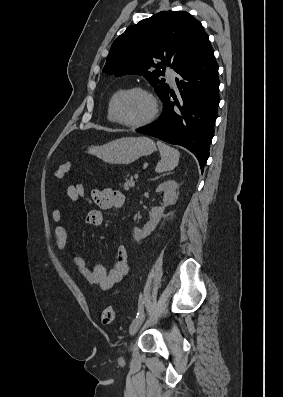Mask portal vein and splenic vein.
Listing matches in <instances>:
<instances>
[{
  "label": "portal vein and splenic vein",
  "instance_id": "1",
  "mask_svg": "<svg viewBox=\"0 0 283 397\" xmlns=\"http://www.w3.org/2000/svg\"><path fill=\"white\" fill-rule=\"evenodd\" d=\"M138 177H139L138 173H135V174H134V178H135V179H138Z\"/></svg>",
  "mask_w": 283,
  "mask_h": 397
}]
</instances>
